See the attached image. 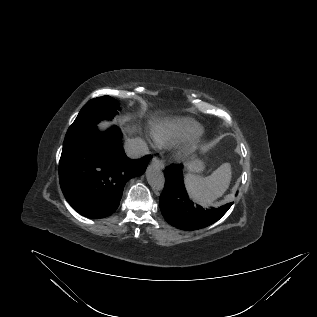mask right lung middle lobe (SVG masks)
Returning a JSON list of instances; mask_svg holds the SVG:
<instances>
[{"instance_id": "right-lung-middle-lobe-1", "label": "right lung middle lobe", "mask_w": 317, "mask_h": 317, "mask_svg": "<svg viewBox=\"0 0 317 317\" xmlns=\"http://www.w3.org/2000/svg\"><path fill=\"white\" fill-rule=\"evenodd\" d=\"M117 110H120L119 103L109 96L98 97L88 101L69 127L63 143V149L70 147L90 130L94 129L100 120L113 118L117 114Z\"/></svg>"}]
</instances>
